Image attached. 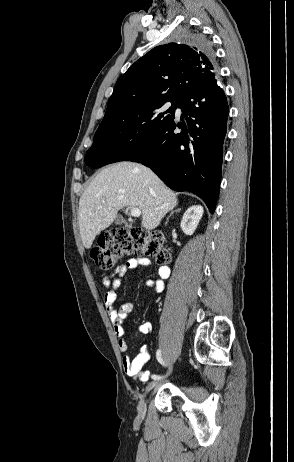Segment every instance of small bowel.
Listing matches in <instances>:
<instances>
[{
	"mask_svg": "<svg viewBox=\"0 0 294 462\" xmlns=\"http://www.w3.org/2000/svg\"><path fill=\"white\" fill-rule=\"evenodd\" d=\"M139 266L150 268L154 266V262L146 257L131 258L126 261L125 264L118 266L113 273L105 276L102 280V285L106 289L104 295V305L113 325L114 333L118 340V347L121 352H127L129 349V342L125 337V323L130 314L133 311L132 303H124L119 308L116 307L117 301V289L121 285L122 277L130 270H134ZM170 276V269L166 265H162L158 268V276L155 278L148 279L146 285L153 288L157 293H160L164 289V281ZM138 332L142 335H146L151 332L152 324L150 322H144L138 327ZM150 354L147 345H143L140 349V353L131 357L125 355L123 357V369L124 372L134 379L140 381H147L150 377V372L144 369L145 364L149 361Z\"/></svg>",
	"mask_w": 294,
	"mask_h": 462,
	"instance_id": "small-bowel-1",
	"label": "small bowel"
}]
</instances>
